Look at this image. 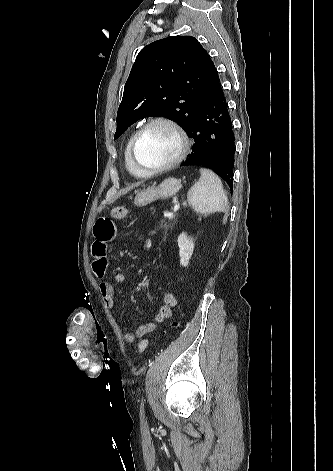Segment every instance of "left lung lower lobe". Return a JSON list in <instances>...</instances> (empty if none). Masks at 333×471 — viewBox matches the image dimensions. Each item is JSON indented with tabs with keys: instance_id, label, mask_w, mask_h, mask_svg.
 Here are the masks:
<instances>
[{
	"instance_id": "1",
	"label": "left lung lower lobe",
	"mask_w": 333,
	"mask_h": 471,
	"mask_svg": "<svg viewBox=\"0 0 333 471\" xmlns=\"http://www.w3.org/2000/svg\"><path fill=\"white\" fill-rule=\"evenodd\" d=\"M193 151L181 166L198 165L214 170L233 190L234 133L220 79L215 70L191 128Z\"/></svg>"
}]
</instances>
